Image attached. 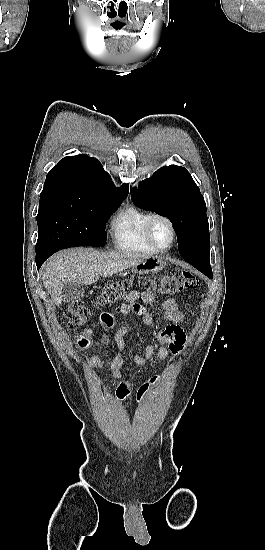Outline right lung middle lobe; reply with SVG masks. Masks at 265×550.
<instances>
[{
	"mask_svg": "<svg viewBox=\"0 0 265 550\" xmlns=\"http://www.w3.org/2000/svg\"><path fill=\"white\" fill-rule=\"evenodd\" d=\"M123 199L40 200L36 255L77 246H104L105 225Z\"/></svg>",
	"mask_w": 265,
	"mask_h": 550,
	"instance_id": "dd1d6c3e",
	"label": "right lung middle lobe"
}]
</instances>
